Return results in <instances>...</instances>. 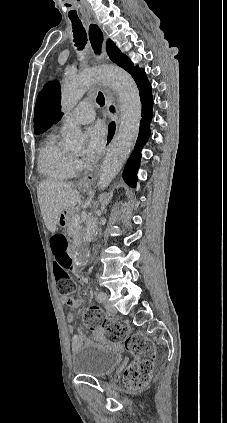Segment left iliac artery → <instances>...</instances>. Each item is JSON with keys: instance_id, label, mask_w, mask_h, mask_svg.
<instances>
[{"instance_id": "1", "label": "left iliac artery", "mask_w": 227, "mask_h": 423, "mask_svg": "<svg viewBox=\"0 0 227 423\" xmlns=\"http://www.w3.org/2000/svg\"><path fill=\"white\" fill-rule=\"evenodd\" d=\"M105 298H106V294H104V293H102V292H100V293L97 295V300H98L99 302H104Z\"/></svg>"}]
</instances>
